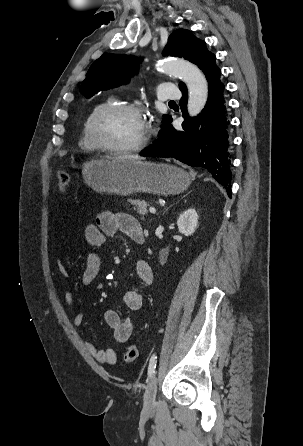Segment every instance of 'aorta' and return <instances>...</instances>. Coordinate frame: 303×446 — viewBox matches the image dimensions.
<instances>
[{
	"label": "aorta",
	"mask_w": 303,
	"mask_h": 446,
	"mask_svg": "<svg viewBox=\"0 0 303 446\" xmlns=\"http://www.w3.org/2000/svg\"><path fill=\"white\" fill-rule=\"evenodd\" d=\"M167 74L182 79L189 91L187 110L190 116L198 115L205 107L208 97L207 81L200 69L186 61L171 60L158 65Z\"/></svg>",
	"instance_id": "762f6f07"
}]
</instances>
